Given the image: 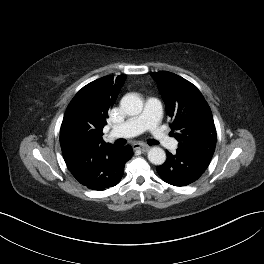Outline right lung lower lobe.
<instances>
[{"mask_svg": "<svg viewBox=\"0 0 264 264\" xmlns=\"http://www.w3.org/2000/svg\"><path fill=\"white\" fill-rule=\"evenodd\" d=\"M62 153L76 180L89 189L100 191L120 182L125 163L132 157V150L128 145L118 147L105 142L75 147Z\"/></svg>", "mask_w": 264, "mask_h": 264, "instance_id": "1", "label": "right lung lower lobe"}]
</instances>
